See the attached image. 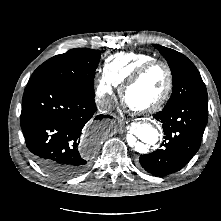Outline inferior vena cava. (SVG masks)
<instances>
[{"label":"inferior vena cava","mask_w":221,"mask_h":221,"mask_svg":"<svg viewBox=\"0 0 221 221\" xmlns=\"http://www.w3.org/2000/svg\"><path fill=\"white\" fill-rule=\"evenodd\" d=\"M98 110L102 113H107L111 110L112 102L108 98H100L96 101Z\"/></svg>","instance_id":"1"}]
</instances>
